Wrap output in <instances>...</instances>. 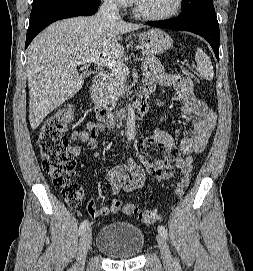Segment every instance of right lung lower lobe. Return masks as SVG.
Masks as SVG:
<instances>
[{
    "label": "right lung lower lobe",
    "mask_w": 253,
    "mask_h": 271,
    "mask_svg": "<svg viewBox=\"0 0 253 271\" xmlns=\"http://www.w3.org/2000/svg\"><path fill=\"white\" fill-rule=\"evenodd\" d=\"M99 4L100 0H77L52 5L30 15L25 48H27L33 38L49 24L64 18L93 15L96 13Z\"/></svg>",
    "instance_id": "98d812e1"
}]
</instances>
